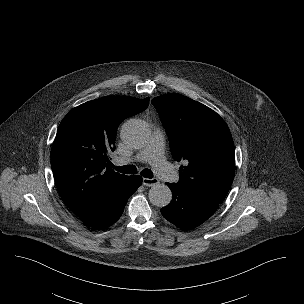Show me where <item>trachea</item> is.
I'll return each instance as SVG.
<instances>
[{
	"label": "trachea",
	"instance_id": "trachea-1",
	"mask_svg": "<svg viewBox=\"0 0 304 304\" xmlns=\"http://www.w3.org/2000/svg\"><path fill=\"white\" fill-rule=\"evenodd\" d=\"M113 168L124 174H136L137 173V168L134 165H125V166H113ZM141 175L145 178H152L153 177V172L150 169H143L141 171Z\"/></svg>",
	"mask_w": 304,
	"mask_h": 304
}]
</instances>
